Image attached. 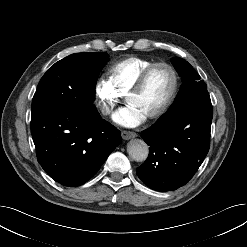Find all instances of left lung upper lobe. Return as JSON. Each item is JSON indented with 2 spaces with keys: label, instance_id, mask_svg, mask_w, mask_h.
I'll return each instance as SVG.
<instances>
[{
  "label": "left lung upper lobe",
  "instance_id": "5c2ea615",
  "mask_svg": "<svg viewBox=\"0 0 247 247\" xmlns=\"http://www.w3.org/2000/svg\"><path fill=\"white\" fill-rule=\"evenodd\" d=\"M172 63L180 77H182L183 84L168 111L176 110L200 91L207 90L204 81L200 79L199 74L187 61L179 57H174L172 58Z\"/></svg>",
  "mask_w": 247,
  "mask_h": 247
}]
</instances>
